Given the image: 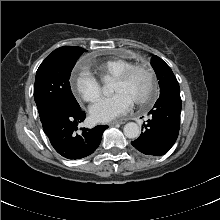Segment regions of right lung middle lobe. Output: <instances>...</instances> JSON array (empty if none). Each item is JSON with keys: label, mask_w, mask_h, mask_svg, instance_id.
I'll return each instance as SVG.
<instances>
[{"label": "right lung middle lobe", "mask_w": 220, "mask_h": 220, "mask_svg": "<svg viewBox=\"0 0 220 220\" xmlns=\"http://www.w3.org/2000/svg\"><path fill=\"white\" fill-rule=\"evenodd\" d=\"M83 48L63 46L54 50L39 66L34 99L40 120L59 109H81L71 92L69 78Z\"/></svg>", "instance_id": "right-lung-middle-lobe-1"}]
</instances>
